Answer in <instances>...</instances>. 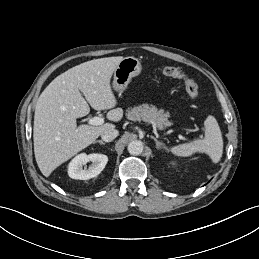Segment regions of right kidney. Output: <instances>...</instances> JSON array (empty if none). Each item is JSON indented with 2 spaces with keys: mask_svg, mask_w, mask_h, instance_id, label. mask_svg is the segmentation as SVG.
Masks as SVG:
<instances>
[{
  "mask_svg": "<svg viewBox=\"0 0 259 259\" xmlns=\"http://www.w3.org/2000/svg\"><path fill=\"white\" fill-rule=\"evenodd\" d=\"M88 162L92 164L88 168H83ZM108 157L104 154H85L77 155L68 165V175L72 179L88 180L98 176L105 168Z\"/></svg>",
  "mask_w": 259,
  "mask_h": 259,
  "instance_id": "right-kidney-1",
  "label": "right kidney"
}]
</instances>
